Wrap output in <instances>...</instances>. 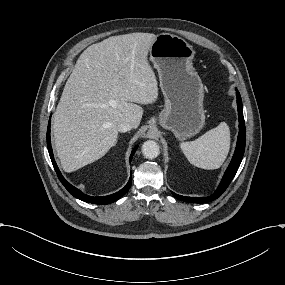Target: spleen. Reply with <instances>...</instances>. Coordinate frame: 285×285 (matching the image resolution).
<instances>
[{
	"label": "spleen",
	"instance_id": "spleen-1",
	"mask_svg": "<svg viewBox=\"0 0 285 285\" xmlns=\"http://www.w3.org/2000/svg\"><path fill=\"white\" fill-rule=\"evenodd\" d=\"M180 148L192 165L207 170L218 169L229 153V126L221 122L198 139L180 143Z\"/></svg>",
	"mask_w": 285,
	"mask_h": 285
}]
</instances>
